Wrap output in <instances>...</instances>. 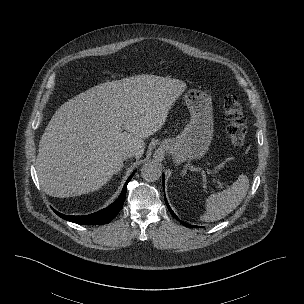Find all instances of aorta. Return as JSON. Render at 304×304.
I'll return each instance as SVG.
<instances>
[{
  "instance_id": "aorta-1",
  "label": "aorta",
  "mask_w": 304,
  "mask_h": 304,
  "mask_svg": "<svg viewBox=\"0 0 304 304\" xmlns=\"http://www.w3.org/2000/svg\"><path fill=\"white\" fill-rule=\"evenodd\" d=\"M161 173V167L157 162H147L141 168V176L147 182L158 180Z\"/></svg>"
}]
</instances>
